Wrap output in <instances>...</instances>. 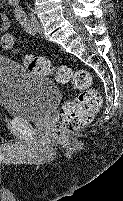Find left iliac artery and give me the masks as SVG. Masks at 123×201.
Wrapping results in <instances>:
<instances>
[{"label": "left iliac artery", "instance_id": "obj_1", "mask_svg": "<svg viewBox=\"0 0 123 201\" xmlns=\"http://www.w3.org/2000/svg\"><path fill=\"white\" fill-rule=\"evenodd\" d=\"M15 15L21 26L28 33H33V27L31 21L29 20L27 14L19 6L15 8Z\"/></svg>", "mask_w": 123, "mask_h": 201}]
</instances>
